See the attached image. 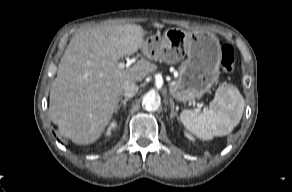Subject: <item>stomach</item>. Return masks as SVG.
Listing matches in <instances>:
<instances>
[{"label": "stomach", "mask_w": 292, "mask_h": 192, "mask_svg": "<svg viewBox=\"0 0 292 192\" xmlns=\"http://www.w3.org/2000/svg\"><path fill=\"white\" fill-rule=\"evenodd\" d=\"M143 53L151 60L177 64L179 75L170 86L177 101L190 102L208 92L219 78L221 46L214 34L171 28L145 40Z\"/></svg>", "instance_id": "stomach-1"}]
</instances>
